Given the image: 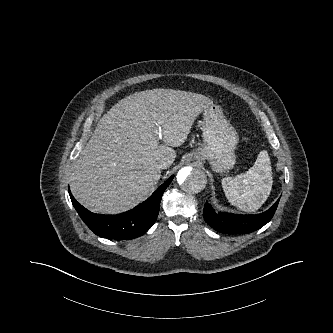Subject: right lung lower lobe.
<instances>
[{"label":"right lung lower lobe","mask_w":333,"mask_h":333,"mask_svg":"<svg viewBox=\"0 0 333 333\" xmlns=\"http://www.w3.org/2000/svg\"><path fill=\"white\" fill-rule=\"evenodd\" d=\"M173 177L171 176L146 201L118 215L92 213L75 200L70 190L69 194L81 219L96 235L115 240L133 239L147 232L156 221L161 197Z\"/></svg>","instance_id":"right-lung-lower-lobe-1"}]
</instances>
